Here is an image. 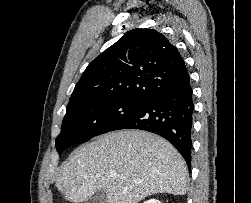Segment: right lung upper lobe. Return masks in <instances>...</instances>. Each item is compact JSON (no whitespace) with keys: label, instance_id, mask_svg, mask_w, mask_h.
<instances>
[{"label":"right lung upper lobe","instance_id":"right-lung-upper-lobe-1","mask_svg":"<svg viewBox=\"0 0 251 203\" xmlns=\"http://www.w3.org/2000/svg\"><path fill=\"white\" fill-rule=\"evenodd\" d=\"M187 73L177 48L164 35L152 29H135L87 66L68 106L95 100L145 103Z\"/></svg>","mask_w":251,"mask_h":203}]
</instances>
